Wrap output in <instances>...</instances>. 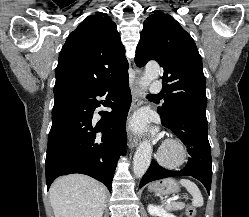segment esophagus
Instances as JSON below:
<instances>
[{
  "mask_svg": "<svg viewBox=\"0 0 249 217\" xmlns=\"http://www.w3.org/2000/svg\"><path fill=\"white\" fill-rule=\"evenodd\" d=\"M142 75V70L140 68H136V78L132 88V104L129 110L128 116V140L132 147H136L139 142V137L133 132L131 128V117L132 114L141 106V85H140V77Z\"/></svg>",
  "mask_w": 249,
  "mask_h": 217,
  "instance_id": "obj_1",
  "label": "esophagus"
}]
</instances>
